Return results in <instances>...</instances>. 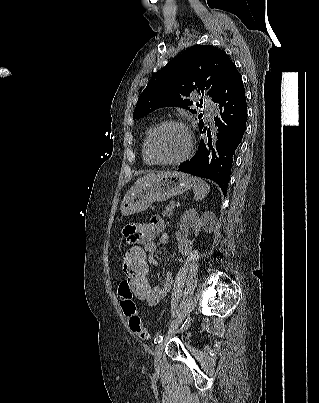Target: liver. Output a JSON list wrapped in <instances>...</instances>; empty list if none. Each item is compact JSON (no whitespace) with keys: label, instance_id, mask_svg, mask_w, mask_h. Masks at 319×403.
Returning a JSON list of instances; mask_svg holds the SVG:
<instances>
[{"label":"liver","instance_id":"1","mask_svg":"<svg viewBox=\"0 0 319 403\" xmlns=\"http://www.w3.org/2000/svg\"><path fill=\"white\" fill-rule=\"evenodd\" d=\"M152 176H154V175L151 174V175H146V176H144L142 178H139V179H137L135 184H138V183H140V182L144 181L145 179L150 178Z\"/></svg>","mask_w":319,"mask_h":403}]
</instances>
